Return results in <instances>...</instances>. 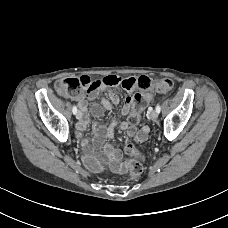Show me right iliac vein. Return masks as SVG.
Instances as JSON below:
<instances>
[{
  "instance_id": "63e3f726",
  "label": "right iliac vein",
  "mask_w": 228,
  "mask_h": 228,
  "mask_svg": "<svg viewBox=\"0 0 228 228\" xmlns=\"http://www.w3.org/2000/svg\"><path fill=\"white\" fill-rule=\"evenodd\" d=\"M76 118H77L78 120L81 118V112H80V111H78V112L76 113Z\"/></svg>"
}]
</instances>
